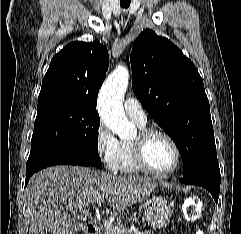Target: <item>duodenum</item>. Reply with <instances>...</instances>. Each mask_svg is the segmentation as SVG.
Wrapping results in <instances>:
<instances>
[{
    "mask_svg": "<svg viewBox=\"0 0 241 234\" xmlns=\"http://www.w3.org/2000/svg\"><path fill=\"white\" fill-rule=\"evenodd\" d=\"M83 234H98V228L97 225L90 221L88 222L83 229Z\"/></svg>",
    "mask_w": 241,
    "mask_h": 234,
    "instance_id": "1",
    "label": "duodenum"
}]
</instances>
